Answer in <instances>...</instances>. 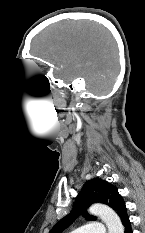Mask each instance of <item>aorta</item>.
<instances>
[{
	"label": "aorta",
	"mask_w": 145,
	"mask_h": 233,
	"mask_svg": "<svg viewBox=\"0 0 145 233\" xmlns=\"http://www.w3.org/2000/svg\"><path fill=\"white\" fill-rule=\"evenodd\" d=\"M89 212L101 218L108 228V233H124L119 216L108 206L100 203L93 204Z\"/></svg>",
	"instance_id": "1"
}]
</instances>
